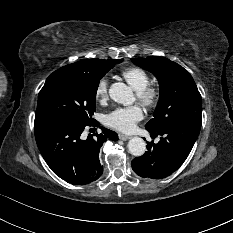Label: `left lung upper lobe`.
I'll return each instance as SVG.
<instances>
[{
  "instance_id": "left-lung-upper-lobe-1",
  "label": "left lung upper lobe",
  "mask_w": 233,
  "mask_h": 233,
  "mask_svg": "<svg viewBox=\"0 0 233 233\" xmlns=\"http://www.w3.org/2000/svg\"><path fill=\"white\" fill-rule=\"evenodd\" d=\"M137 66L153 73L159 81L160 98L146 129L160 132L171 123L201 112V95L192 76L179 64L163 57L132 58Z\"/></svg>"
}]
</instances>
